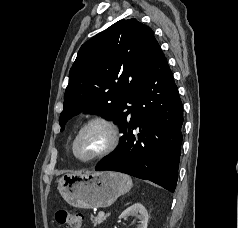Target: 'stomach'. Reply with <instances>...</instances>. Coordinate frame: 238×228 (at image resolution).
Instances as JSON below:
<instances>
[{"instance_id": "obj_1", "label": "stomach", "mask_w": 238, "mask_h": 228, "mask_svg": "<svg viewBox=\"0 0 238 228\" xmlns=\"http://www.w3.org/2000/svg\"><path fill=\"white\" fill-rule=\"evenodd\" d=\"M131 187L128 175L113 171L68 173L58 181V190L64 200L83 209L108 207Z\"/></svg>"}]
</instances>
